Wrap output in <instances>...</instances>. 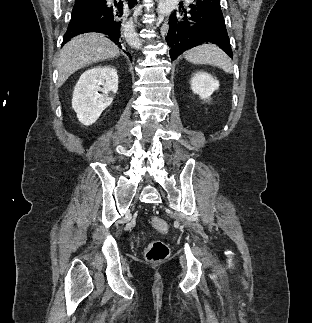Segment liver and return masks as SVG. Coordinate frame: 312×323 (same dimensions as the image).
<instances>
[{
  "mask_svg": "<svg viewBox=\"0 0 312 323\" xmlns=\"http://www.w3.org/2000/svg\"><path fill=\"white\" fill-rule=\"evenodd\" d=\"M116 56H120L119 48L105 38L104 34L89 32L72 38L63 46L57 60L58 88L80 68L108 58H116Z\"/></svg>",
  "mask_w": 312,
  "mask_h": 323,
  "instance_id": "liver-1",
  "label": "liver"
}]
</instances>
